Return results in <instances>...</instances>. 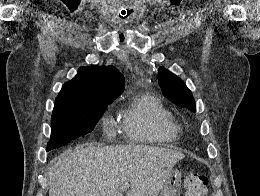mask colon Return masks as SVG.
<instances>
[{
	"label": "colon",
	"mask_w": 260,
	"mask_h": 196,
	"mask_svg": "<svg viewBox=\"0 0 260 196\" xmlns=\"http://www.w3.org/2000/svg\"><path fill=\"white\" fill-rule=\"evenodd\" d=\"M183 182L186 196H207L208 178L205 174L190 170L185 173Z\"/></svg>",
	"instance_id": "1"
}]
</instances>
